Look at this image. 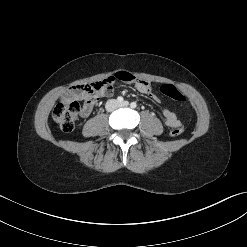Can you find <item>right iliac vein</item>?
Instances as JSON below:
<instances>
[{"label":"right iliac vein","mask_w":247,"mask_h":247,"mask_svg":"<svg viewBox=\"0 0 247 247\" xmlns=\"http://www.w3.org/2000/svg\"><path fill=\"white\" fill-rule=\"evenodd\" d=\"M112 105L114 106L115 105V102H112Z\"/></svg>","instance_id":"obj_1"}]
</instances>
